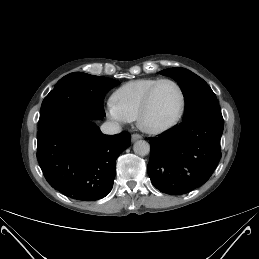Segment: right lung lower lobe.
<instances>
[{
	"label": "right lung lower lobe",
	"mask_w": 259,
	"mask_h": 259,
	"mask_svg": "<svg viewBox=\"0 0 259 259\" xmlns=\"http://www.w3.org/2000/svg\"><path fill=\"white\" fill-rule=\"evenodd\" d=\"M94 120L59 116L39 125L37 159L48 183L69 198L94 201L112 189L116 159L130 133L103 134Z\"/></svg>",
	"instance_id": "1"
}]
</instances>
